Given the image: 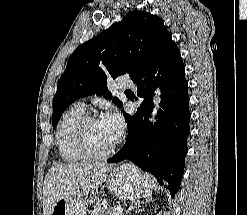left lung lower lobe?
I'll use <instances>...</instances> for the list:
<instances>
[{"label": "left lung lower lobe", "mask_w": 247, "mask_h": 215, "mask_svg": "<svg viewBox=\"0 0 247 215\" xmlns=\"http://www.w3.org/2000/svg\"><path fill=\"white\" fill-rule=\"evenodd\" d=\"M137 95L143 99L136 114L124 113L128 126L125 145L108 163L130 160L155 176L172 198L179 190L190 133L189 96L184 64L175 42L168 40L150 66L137 75ZM161 88L158 121L150 125L153 94Z\"/></svg>", "instance_id": "0a47b994"}]
</instances>
